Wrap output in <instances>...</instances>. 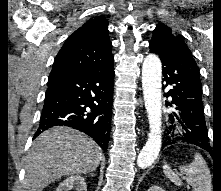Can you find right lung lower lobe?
Masks as SVG:
<instances>
[{
  "label": "right lung lower lobe",
  "instance_id": "98d812e1",
  "mask_svg": "<svg viewBox=\"0 0 221 191\" xmlns=\"http://www.w3.org/2000/svg\"><path fill=\"white\" fill-rule=\"evenodd\" d=\"M113 63L49 78L37 137L53 126L80 130L107 150L111 132Z\"/></svg>",
  "mask_w": 221,
  "mask_h": 191
}]
</instances>
